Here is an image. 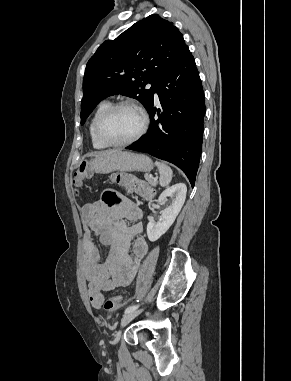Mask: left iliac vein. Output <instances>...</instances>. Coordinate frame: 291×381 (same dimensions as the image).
Instances as JSON below:
<instances>
[{
  "mask_svg": "<svg viewBox=\"0 0 291 381\" xmlns=\"http://www.w3.org/2000/svg\"><path fill=\"white\" fill-rule=\"evenodd\" d=\"M142 309L134 310L132 312L126 313L121 319V327H124L128 324L132 319H134L137 315L141 313Z\"/></svg>",
  "mask_w": 291,
  "mask_h": 381,
  "instance_id": "4c4485c4",
  "label": "left iliac vein"
}]
</instances>
